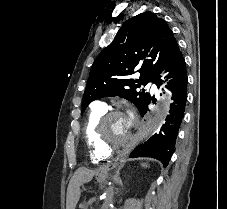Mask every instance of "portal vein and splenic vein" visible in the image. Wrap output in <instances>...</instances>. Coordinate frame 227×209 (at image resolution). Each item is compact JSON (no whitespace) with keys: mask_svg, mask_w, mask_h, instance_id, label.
<instances>
[{"mask_svg":"<svg viewBox=\"0 0 227 209\" xmlns=\"http://www.w3.org/2000/svg\"><path fill=\"white\" fill-rule=\"evenodd\" d=\"M95 201L94 197H91L90 200L88 201L90 204Z\"/></svg>","mask_w":227,"mask_h":209,"instance_id":"obj_1","label":"portal vein and splenic vein"}]
</instances>
